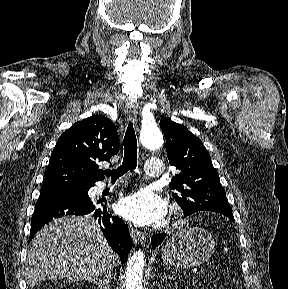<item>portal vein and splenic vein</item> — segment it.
<instances>
[{"label":"portal vein and splenic vein","instance_id":"portal-vein-and-splenic-vein-1","mask_svg":"<svg viewBox=\"0 0 288 289\" xmlns=\"http://www.w3.org/2000/svg\"><path fill=\"white\" fill-rule=\"evenodd\" d=\"M200 274H205V270L204 269H200Z\"/></svg>","mask_w":288,"mask_h":289}]
</instances>
